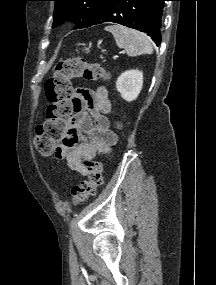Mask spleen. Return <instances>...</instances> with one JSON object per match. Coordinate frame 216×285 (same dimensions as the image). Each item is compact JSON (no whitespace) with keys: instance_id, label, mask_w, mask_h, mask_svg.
I'll return each instance as SVG.
<instances>
[{"instance_id":"spleen-1","label":"spleen","mask_w":216,"mask_h":285,"mask_svg":"<svg viewBox=\"0 0 216 285\" xmlns=\"http://www.w3.org/2000/svg\"><path fill=\"white\" fill-rule=\"evenodd\" d=\"M105 30L112 33L117 46L130 57L153 53V47L143 33L120 25L107 26Z\"/></svg>"}]
</instances>
